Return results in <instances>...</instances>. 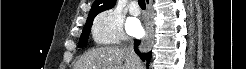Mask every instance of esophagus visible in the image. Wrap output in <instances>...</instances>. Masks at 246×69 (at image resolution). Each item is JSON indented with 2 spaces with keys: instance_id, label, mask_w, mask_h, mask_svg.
Masks as SVG:
<instances>
[{
  "instance_id": "obj_1",
  "label": "esophagus",
  "mask_w": 246,
  "mask_h": 69,
  "mask_svg": "<svg viewBox=\"0 0 246 69\" xmlns=\"http://www.w3.org/2000/svg\"><path fill=\"white\" fill-rule=\"evenodd\" d=\"M153 42H154L153 31L151 29V26L147 25L146 26L145 35L142 38L141 44L139 46V49L142 52H148L151 49V47L153 45Z\"/></svg>"
}]
</instances>
